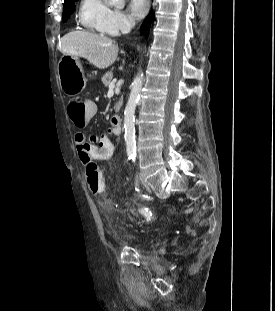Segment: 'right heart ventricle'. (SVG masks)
Returning a JSON list of instances; mask_svg holds the SVG:
<instances>
[{"instance_id":"e07e8e85","label":"right heart ventricle","mask_w":275,"mask_h":311,"mask_svg":"<svg viewBox=\"0 0 275 311\" xmlns=\"http://www.w3.org/2000/svg\"><path fill=\"white\" fill-rule=\"evenodd\" d=\"M110 11L106 0H81L78 8V22L89 32L106 34L104 23Z\"/></svg>"}]
</instances>
